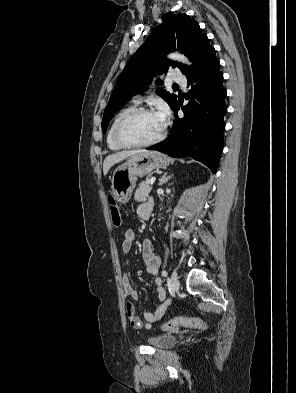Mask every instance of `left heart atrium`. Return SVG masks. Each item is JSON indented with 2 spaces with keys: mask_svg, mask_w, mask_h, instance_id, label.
I'll return each mask as SVG.
<instances>
[{
  "mask_svg": "<svg viewBox=\"0 0 296 393\" xmlns=\"http://www.w3.org/2000/svg\"><path fill=\"white\" fill-rule=\"evenodd\" d=\"M155 114L157 115L159 121L161 122L162 126L164 127L166 124V120L169 116V109L167 107V105L165 104H160L157 108V111L155 112Z\"/></svg>",
  "mask_w": 296,
  "mask_h": 393,
  "instance_id": "obj_1",
  "label": "left heart atrium"
}]
</instances>
